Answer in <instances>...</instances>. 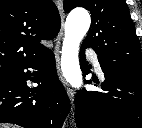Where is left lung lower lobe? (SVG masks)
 Listing matches in <instances>:
<instances>
[{"instance_id": "0a47b994", "label": "left lung lower lobe", "mask_w": 142, "mask_h": 128, "mask_svg": "<svg viewBox=\"0 0 142 128\" xmlns=\"http://www.w3.org/2000/svg\"><path fill=\"white\" fill-rule=\"evenodd\" d=\"M80 50L83 76L90 71ZM105 81L93 79L100 91L83 89L75 99V122L78 128H142V75L108 69L98 57ZM93 84L91 80L85 81Z\"/></svg>"}]
</instances>
